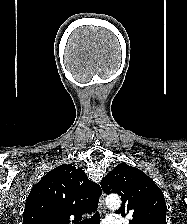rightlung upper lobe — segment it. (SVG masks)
<instances>
[{
    "label": "right lung upper lobe",
    "mask_w": 187,
    "mask_h": 224,
    "mask_svg": "<svg viewBox=\"0 0 187 224\" xmlns=\"http://www.w3.org/2000/svg\"><path fill=\"white\" fill-rule=\"evenodd\" d=\"M101 188L75 165L63 164L49 171L31 189L23 224H82V215L97 209Z\"/></svg>",
    "instance_id": "cb5924a9"
}]
</instances>
